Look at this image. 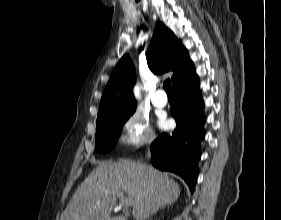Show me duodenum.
Returning a JSON list of instances; mask_svg holds the SVG:
<instances>
[{"mask_svg": "<svg viewBox=\"0 0 281 220\" xmlns=\"http://www.w3.org/2000/svg\"><path fill=\"white\" fill-rule=\"evenodd\" d=\"M110 220H126L125 218H123V217H119V216H117V217H113V218H111Z\"/></svg>", "mask_w": 281, "mask_h": 220, "instance_id": "1", "label": "duodenum"}]
</instances>
